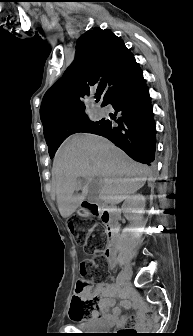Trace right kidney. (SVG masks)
<instances>
[{"label":"right kidney","instance_id":"right-kidney-1","mask_svg":"<svg viewBox=\"0 0 193 336\" xmlns=\"http://www.w3.org/2000/svg\"><path fill=\"white\" fill-rule=\"evenodd\" d=\"M146 199L141 194L128 196L123 204L124 210L132 214H141L145 208Z\"/></svg>","mask_w":193,"mask_h":336}]
</instances>
